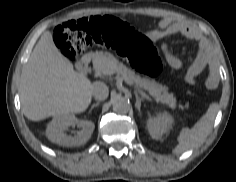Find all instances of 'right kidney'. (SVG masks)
Returning <instances> with one entry per match:
<instances>
[{
  "instance_id": "right-kidney-1",
  "label": "right kidney",
  "mask_w": 236,
  "mask_h": 182,
  "mask_svg": "<svg viewBox=\"0 0 236 182\" xmlns=\"http://www.w3.org/2000/svg\"><path fill=\"white\" fill-rule=\"evenodd\" d=\"M76 125L80 130L75 135L64 133L69 127ZM94 127V123L91 121L78 120L74 115L66 114L53 118L47 126L46 135L51 142L61 146H80L90 139Z\"/></svg>"
}]
</instances>
